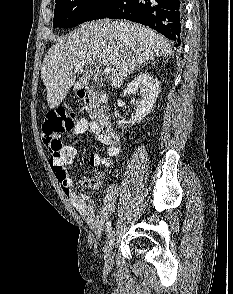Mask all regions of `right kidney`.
<instances>
[{
  "instance_id": "right-kidney-1",
  "label": "right kidney",
  "mask_w": 233,
  "mask_h": 294,
  "mask_svg": "<svg viewBox=\"0 0 233 294\" xmlns=\"http://www.w3.org/2000/svg\"><path fill=\"white\" fill-rule=\"evenodd\" d=\"M140 92L141 99L135 100L133 97L131 103L136 105L135 115L129 121H118L119 127L124 124H135L141 122L153 109L156 99L160 93V84L150 73H139L126 87L123 96H134Z\"/></svg>"
}]
</instances>
